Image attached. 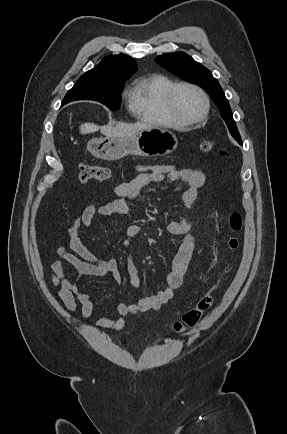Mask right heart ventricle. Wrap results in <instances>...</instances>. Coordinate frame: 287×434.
<instances>
[{"instance_id": "right-heart-ventricle-1", "label": "right heart ventricle", "mask_w": 287, "mask_h": 434, "mask_svg": "<svg viewBox=\"0 0 287 434\" xmlns=\"http://www.w3.org/2000/svg\"><path fill=\"white\" fill-rule=\"evenodd\" d=\"M174 82L167 76L152 74L135 80L130 91L129 109L140 120L164 127L179 125L168 113L165 97Z\"/></svg>"}]
</instances>
